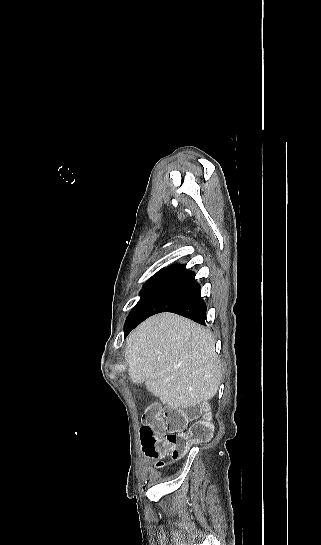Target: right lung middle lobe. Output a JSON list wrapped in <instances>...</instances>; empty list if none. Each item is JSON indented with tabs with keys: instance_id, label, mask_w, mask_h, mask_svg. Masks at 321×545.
<instances>
[{
	"instance_id": "dd1d6c3e",
	"label": "right lung middle lobe",
	"mask_w": 321,
	"mask_h": 545,
	"mask_svg": "<svg viewBox=\"0 0 321 545\" xmlns=\"http://www.w3.org/2000/svg\"><path fill=\"white\" fill-rule=\"evenodd\" d=\"M175 272L172 269H161L153 275L140 291V300L129 313L126 322L135 319L150 302L163 283Z\"/></svg>"
}]
</instances>
